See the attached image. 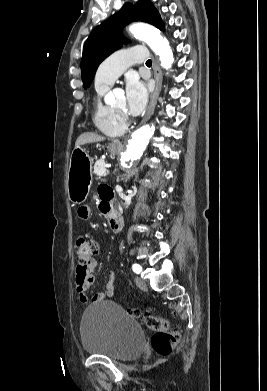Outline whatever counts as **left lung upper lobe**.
Segmentation results:
<instances>
[{"instance_id":"5c2ea615","label":"left lung upper lobe","mask_w":267,"mask_h":391,"mask_svg":"<svg viewBox=\"0 0 267 391\" xmlns=\"http://www.w3.org/2000/svg\"><path fill=\"white\" fill-rule=\"evenodd\" d=\"M132 21L147 22L160 30L164 28V23L150 0H139L134 6L126 3L118 13L97 26L84 44L81 60L84 89L91 85L99 64L126 43L122 30Z\"/></svg>"}]
</instances>
